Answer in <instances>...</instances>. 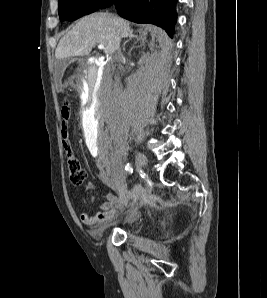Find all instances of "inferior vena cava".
<instances>
[{
	"label": "inferior vena cava",
	"instance_id": "1",
	"mask_svg": "<svg viewBox=\"0 0 267 298\" xmlns=\"http://www.w3.org/2000/svg\"><path fill=\"white\" fill-rule=\"evenodd\" d=\"M117 53H118V55H120V50L119 49L117 50Z\"/></svg>",
	"mask_w": 267,
	"mask_h": 298
}]
</instances>
